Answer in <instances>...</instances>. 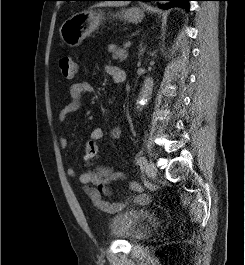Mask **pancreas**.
I'll return each instance as SVG.
<instances>
[{
    "mask_svg": "<svg viewBox=\"0 0 245 265\" xmlns=\"http://www.w3.org/2000/svg\"><path fill=\"white\" fill-rule=\"evenodd\" d=\"M108 51L112 53V58L114 60H119L120 62L126 60L128 56L127 50L125 49L109 47Z\"/></svg>",
    "mask_w": 245,
    "mask_h": 265,
    "instance_id": "pancreas-1",
    "label": "pancreas"
}]
</instances>
